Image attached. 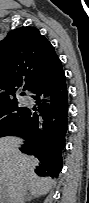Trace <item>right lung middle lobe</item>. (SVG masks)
Listing matches in <instances>:
<instances>
[{
	"instance_id": "dd1d6c3e",
	"label": "right lung middle lobe",
	"mask_w": 89,
	"mask_h": 203,
	"mask_svg": "<svg viewBox=\"0 0 89 203\" xmlns=\"http://www.w3.org/2000/svg\"><path fill=\"white\" fill-rule=\"evenodd\" d=\"M27 110L18 106L17 99L0 105V136L10 135Z\"/></svg>"
}]
</instances>
